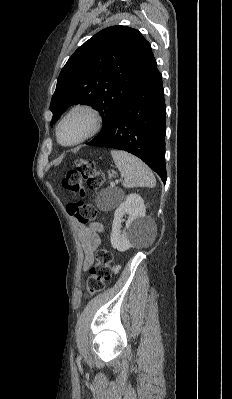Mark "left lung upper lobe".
<instances>
[{
  "label": "left lung upper lobe",
  "mask_w": 232,
  "mask_h": 399,
  "mask_svg": "<svg viewBox=\"0 0 232 399\" xmlns=\"http://www.w3.org/2000/svg\"><path fill=\"white\" fill-rule=\"evenodd\" d=\"M150 50L142 34L126 26L95 34L60 72L50 104L51 126L71 105L85 104L101 113L103 127L92 141L101 138L131 92Z\"/></svg>",
  "instance_id": "obj_1"
}]
</instances>
